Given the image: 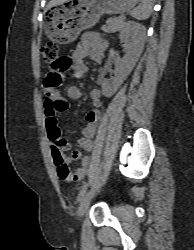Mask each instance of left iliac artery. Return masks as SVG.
I'll return each instance as SVG.
<instances>
[{"label": "left iliac artery", "instance_id": "1", "mask_svg": "<svg viewBox=\"0 0 194 250\" xmlns=\"http://www.w3.org/2000/svg\"><path fill=\"white\" fill-rule=\"evenodd\" d=\"M87 186H88V183H85L80 191V194L78 196V201H80L82 199V197L84 196L86 190H87Z\"/></svg>", "mask_w": 194, "mask_h": 250}]
</instances>
